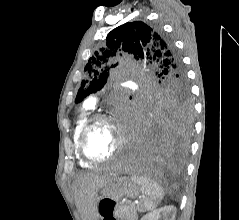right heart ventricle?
I'll use <instances>...</instances> for the list:
<instances>
[{
    "label": "right heart ventricle",
    "mask_w": 239,
    "mask_h": 220,
    "mask_svg": "<svg viewBox=\"0 0 239 220\" xmlns=\"http://www.w3.org/2000/svg\"><path fill=\"white\" fill-rule=\"evenodd\" d=\"M87 114H88V111L84 110L78 116V118L76 120L75 128H74V132H73V141H74L75 154H76V157L78 159V162H79L80 166H82L84 168H88V167L92 166L91 163L87 162L86 160H84L81 157L80 152H79V136H80V132H81L83 126L87 122Z\"/></svg>",
    "instance_id": "obj_1"
}]
</instances>
